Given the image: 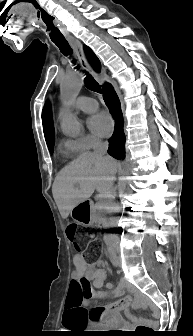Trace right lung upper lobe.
<instances>
[{
    "instance_id": "1",
    "label": "right lung upper lobe",
    "mask_w": 193,
    "mask_h": 336,
    "mask_svg": "<svg viewBox=\"0 0 193 336\" xmlns=\"http://www.w3.org/2000/svg\"><path fill=\"white\" fill-rule=\"evenodd\" d=\"M84 50H85V53L90 63L93 65V67L97 71H99L100 63L98 61V58L95 56V54L92 52V50L89 47L84 46ZM42 122H43V131H44L46 142L54 139V126L52 122L51 108L49 105H45L43 109Z\"/></svg>"
}]
</instances>
